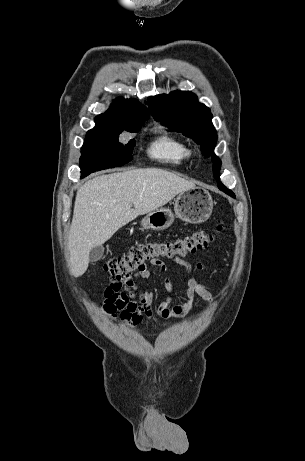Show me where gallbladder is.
I'll use <instances>...</instances> for the list:
<instances>
[{
  "label": "gallbladder",
  "mask_w": 305,
  "mask_h": 461,
  "mask_svg": "<svg viewBox=\"0 0 305 461\" xmlns=\"http://www.w3.org/2000/svg\"><path fill=\"white\" fill-rule=\"evenodd\" d=\"M103 254H104V247L96 246L93 249H91L89 253V260L91 262H96L102 258Z\"/></svg>",
  "instance_id": "obj_1"
}]
</instances>
